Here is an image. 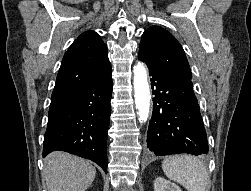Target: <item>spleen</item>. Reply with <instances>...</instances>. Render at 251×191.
Instances as JSON below:
<instances>
[{"instance_id": "spleen-1", "label": "spleen", "mask_w": 251, "mask_h": 191, "mask_svg": "<svg viewBox=\"0 0 251 191\" xmlns=\"http://www.w3.org/2000/svg\"><path fill=\"white\" fill-rule=\"evenodd\" d=\"M162 169L170 179L178 181L188 191H205L209 177L205 163L193 155H169Z\"/></svg>"}]
</instances>
